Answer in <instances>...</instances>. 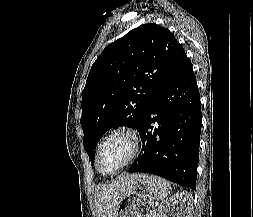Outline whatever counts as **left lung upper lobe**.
Returning a JSON list of instances; mask_svg holds the SVG:
<instances>
[{
    "label": "left lung upper lobe",
    "instance_id": "left-lung-upper-lobe-1",
    "mask_svg": "<svg viewBox=\"0 0 253 217\" xmlns=\"http://www.w3.org/2000/svg\"><path fill=\"white\" fill-rule=\"evenodd\" d=\"M186 56L166 28L144 24L108 45L93 63L82 91L83 145L94 149L112 127L138 128L157 91Z\"/></svg>",
    "mask_w": 253,
    "mask_h": 217
}]
</instances>
